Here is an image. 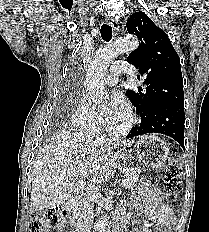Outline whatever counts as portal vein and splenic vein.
Here are the masks:
<instances>
[{
    "label": "portal vein and splenic vein",
    "mask_w": 209,
    "mask_h": 232,
    "mask_svg": "<svg viewBox=\"0 0 209 232\" xmlns=\"http://www.w3.org/2000/svg\"><path fill=\"white\" fill-rule=\"evenodd\" d=\"M83 177H84V178H88V175L85 173V174L83 175ZM127 182H128V181H127V179H126V178H125V179H123V181H122V186H124V187H125V186L127 185Z\"/></svg>",
    "instance_id": "18ae733b"
}]
</instances>
